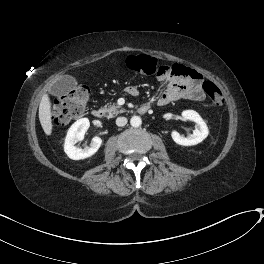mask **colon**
Listing matches in <instances>:
<instances>
[{
    "label": "colon",
    "mask_w": 264,
    "mask_h": 264,
    "mask_svg": "<svg viewBox=\"0 0 264 264\" xmlns=\"http://www.w3.org/2000/svg\"><path fill=\"white\" fill-rule=\"evenodd\" d=\"M126 66L133 71L146 75H156L160 78L170 75L172 71L170 66L160 65L154 58L146 55L127 57ZM202 88L211 104L220 106L223 103V94L214 82L207 80L203 83ZM89 98V87L79 85L61 100L55 101L52 113L56 122L66 124L72 119L82 116Z\"/></svg>",
    "instance_id": "1"
}]
</instances>
